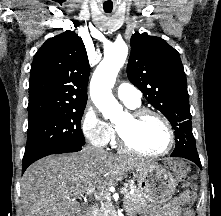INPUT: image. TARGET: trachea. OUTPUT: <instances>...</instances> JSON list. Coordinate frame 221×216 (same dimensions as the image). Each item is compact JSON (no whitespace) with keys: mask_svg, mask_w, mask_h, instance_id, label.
Listing matches in <instances>:
<instances>
[{"mask_svg":"<svg viewBox=\"0 0 221 216\" xmlns=\"http://www.w3.org/2000/svg\"><path fill=\"white\" fill-rule=\"evenodd\" d=\"M105 12H106V13H110L111 11H107V10H105Z\"/></svg>","mask_w":221,"mask_h":216,"instance_id":"1","label":"trachea"}]
</instances>
